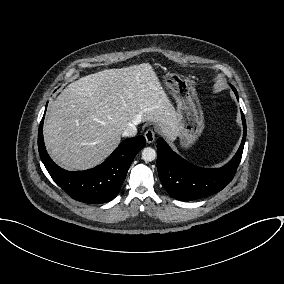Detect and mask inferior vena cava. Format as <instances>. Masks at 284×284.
<instances>
[{"label": "inferior vena cava", "instance_id": "1", "mask_svg": "<svg viewBox=\"0 0 284 284\" xmlns=\"http://www.w3.org/2000/svg\"><path fill=\"white\" fill-rule=\"evenodd\" d=\"M137 133V128L134 124H130L122 133L123 137H133Z\"/></svg>", "mask_w": 284, "mask_h": 284}]
</instances>
